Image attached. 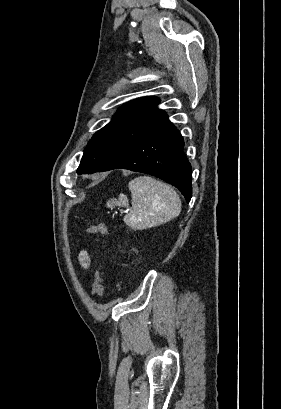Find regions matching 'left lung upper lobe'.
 Returning a JSON list of instances; mask_svg holds the SVG:
<instances>
[{
    "instance_id": "left-lung-upper-lobe-1",
    "label": "left lung upper lobe",
    "mask_w": 281,
    "mask_h": 409,
    "mask_svg": "<svg viewBox=\"0 0 281 409\" xmlns=\"http://www.w3.org/2000/svg\"><path fill=\"white\" fill-rule=\"evenodd\" d=\"M158 103L155 97H144L120 107L113 119L89 141L77 173L97 172L113 157L168 123L166 113L156 108Z\"/></svg>"
}]
</instances>
